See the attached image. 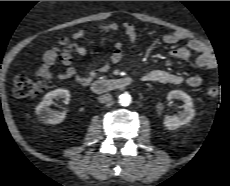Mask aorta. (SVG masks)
Here are the masks:
<instances>
[{
  "label": "aorta",
  "mask_w": 230,
  "mask_h": 186,
  "mask_svg": "<svg viewBox=\"0 0 230 186\" xmlns=\"http://www.w3.org/2000/svg\"><path fill=\"white\" fill-rule=\"evenodd\" d=\"M132 98L129 94L124 93L119 96V103L122 106H129L131 104Z\"/></svg>",
  "instance_id": "obj_1"
}]
</instances>
